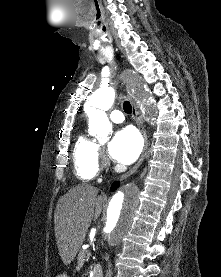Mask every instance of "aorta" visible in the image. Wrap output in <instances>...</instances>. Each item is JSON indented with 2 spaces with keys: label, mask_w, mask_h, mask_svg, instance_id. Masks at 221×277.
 <instances>
[{
  "label": "aorta",
  "mask_w": 221,
  "mask_h": 277,
  "mask_svg": "<svg viewBox=\"0 0 221 277\" xmlns=\"http://www.w3.org/2000/svg\"><path fill=\"white\" fill-rule=\"evenodd\" d=\"M131 91L140 99L146 100V110L150 117H156L157 103L152 100L143 82L135 73L128 75ZM116 92L113 86L96 90L87 101L85 112L89 117V132L98 140H105L112 131V126L105 113L114 103ZM140 203L138 188L129 184L118 190L109 201L107 215L102 232L107 246L117 244L132 225Z\"/></svg>",
  "instance_id": "1"
}]
</instances>
